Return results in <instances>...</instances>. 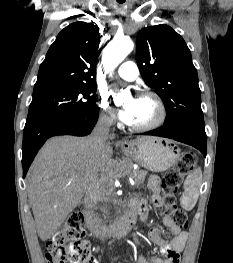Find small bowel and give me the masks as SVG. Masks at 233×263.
Masks as SVG:
<instances>
[{
    "label": "small bowel",
    "mask_w": 233,
    "mask_h": 263,
    "mask_svg": "<svg viewBox=\"0 0 233 263\" xmlns=\"http://www.w3.org/2000/svg\"><path fill=\"white\" fill-rule=\"evenodd\" d=\"M148 187L152 190L151 201L153 206L161 210L163 207V200L160 194V180L153 175L148 180ZM137 206L138 213L143 221L147 219L149 205L145 200H133ZM162 222L170 231L171 237L166 239L163 237L159 229L152 228L149 230L148 236L150 240L156 244L162 257H144L139 256L138 263H180V252L184 248L185 242L188 238L186 231L182 230L174 221L165 215H162ZM91 263H99L97 258L92 257Z\"/></svg>",
    "instance_id": "small-bowel-1"
}]
</instances>
